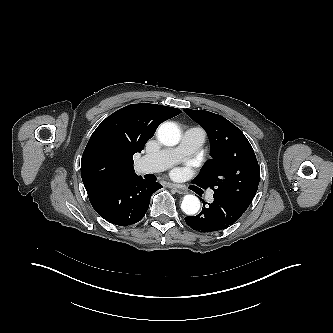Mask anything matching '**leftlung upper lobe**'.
<instances>
[{"mask_svg":"<svg viewBox=\"0 0 333 333\" xmlns=\"http://www.w3.org/2000/svg\"><path fill=\"white\" fill-rule=\"evenodd\" d=\"M208 134L211 156L194 182L215 195L248 208L259 185L260 167L242 131L224 117L201 110L184 109Z\"/></svg>","mask_w":333,"mask_h":333,"instance_id":"obj_1","label":"left lung upper lobe"}]
</instances>
